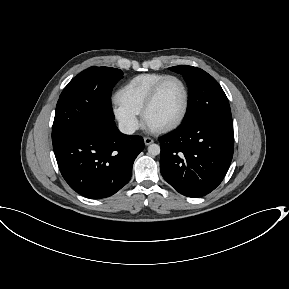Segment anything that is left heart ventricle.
<instances>
[{
    "label": "left heart ventricle",
    "mask_w": 289,
    "mask_h": 289,
    "mask_svg": "<svg viewBox=\"0 0 289 289\" xmlns=\"http://www.w3.org/2000/svg\"><path fill=\"white\" fill-rule=\"evenodd\" d=\"M184 90L176 80L166 82L161 88L147 115V124L159 128L175 121L182 112Z\"/></svg>",
    "instance_id": "b2bd125f"
}]
</instances>
